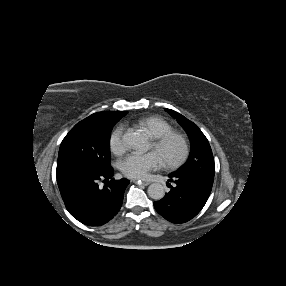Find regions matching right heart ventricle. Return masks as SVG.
<instances>
[{
	"label": "right heart ventricle",
	"instance_id": "e07e8e85",
	"mask_svg": "<svg viewBox=\"0 0 286 286\" xmlns=\"http://www.w3.org/2000/svg\"><path fill=\"white\" fill-rule=\"evenodd\" d=\"M137 125L148 129L153 137L175 130V127L170 122L158 115L143 118L138 121Z\"/></svg>",
	"mask_w": 286,
	"mask_h": 286
}]
</instances>
